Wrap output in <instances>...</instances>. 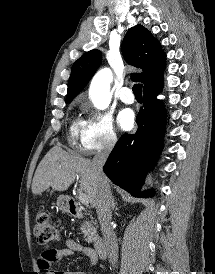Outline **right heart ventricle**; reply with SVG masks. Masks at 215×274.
Returning a JSON list of instances; mask_svg holds the SVG:
<instances>
[{"mask_svg":"<svg viewBox=\"0 0 215 274\" xmlns=\"http://www.w3.org/2000/svg\"><path fill=\"white\" fill-rule=\"evenodd\" d=\"M82 126H83V121L75 120V121L72 123L71 128H70L71 135L74 137V136H76L78 133H80V132H81V129H82Z\"/></svg>","mask_w":215,"mask_h":274,"instance_id":"right-heart-ventricle-1","label":"right heart ventricle"}]
</instances>
